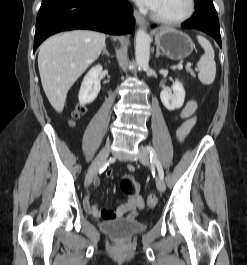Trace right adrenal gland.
I'll return each mask as SVG.
<instances>
[{"label": "right adrenal gland", "mask_w": 247, "mask_h": 265, "mask_svg": "<svg viewBox=\"0 0 247 265\" xmlns=\"http://www.w3.org/2000/svg\"><path fill=\"white\" fill-rule=\"evenodd\" d=\"M106 54L108 57L110 56L107 48H106V45L104 46V49H103V52H102V55Z\"/></svg>", "instance_id": "2a0ac1e0"}]
</instances>
